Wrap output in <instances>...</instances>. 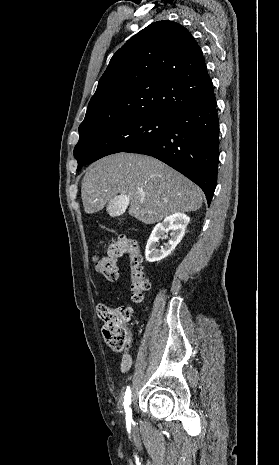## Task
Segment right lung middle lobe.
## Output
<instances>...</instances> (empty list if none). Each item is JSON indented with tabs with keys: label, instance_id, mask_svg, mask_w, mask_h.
<instances>
[{
	"label": "right lung middle lobe",
	"instance_id": "obj_1",
	"mask_svg": "<svg viewBox=\"0 0 279 465\" xmlns=\"http://www.w3.org/2000/svg\"><path fill=\"white\" fill-rule=\"evenodd\" d=\"M170 116L141 114L79 130L74 148L78 168L117 152H132L148 145L164 134Z\"/></svg>",
	"mask_w": 279,
	"mask_h": 465
}]
</instances>
